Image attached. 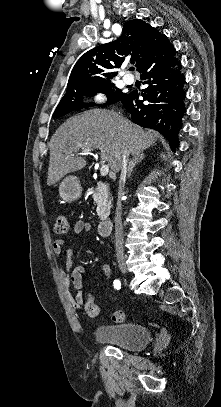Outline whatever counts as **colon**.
Returning a JSON list of instances; mask_svg holds the SVG:
<instances>
[{
  "mask_svg": "<svg viewBox=\"0 0 221 407\" xmlns=\"http://www.w3.org/2000/svg\"><path fill=\"white\" fill-rule=\"evenodd\" d=\"M68 231L67 219L64 216H59L55 223V232L57 234H65ZM84 307L87 314L91 317H95L98 314V306L96 305L94 298L88 296L84 300ZM112 320L116 323H123L126 320V313L123 310H117L112 314Z\"/></svg>",
  "mask_w": 221,
  "mask_h": 407,
  "instance_id": "colon-1",
  "label": "colon"
}]
</instances>
